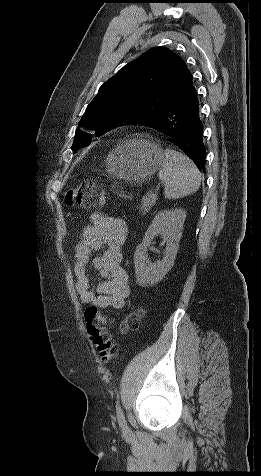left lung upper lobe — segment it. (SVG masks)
Here are the masks:
<instances>
[{
  "label": "left lung upper lobe",
  "mask_w": 261,
  "mask_h": 476,
  "mask_svg": "<svg viewBox=\"0 0 261 476\" xmlns=\"http://www.w3.org/2000/svg\"><path fill=\"white\" fill-rule=\"evenodd\" d=\"M185 61L166 47H154L107 80L88 105L80 125H99L96 136L127 124H141L165 111L192 87ZM91 135L76 131L72 150L90 144Z\"/></svg>",
  "instance_id": "left-lung-upper-lobe-1"
}]
</instances>
